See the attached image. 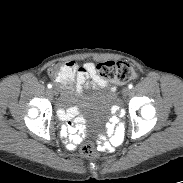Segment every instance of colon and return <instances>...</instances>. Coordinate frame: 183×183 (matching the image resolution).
I'll return each instance as SVG.
<instances>
[{
  "label": "colon",
  "mask_w": 183,
  "mask_h": 183,
  "mask_svg": "<svg viewBox=\"0 0 183 183\" xmlns=\"http://www.w3.org/2000/svg\"><path fill=\"white\" fill-rule=\"evenodd\" d=\"M97 71L101 77L115 83H126L137 77L136 69L133 65L124 61H105L97 66ZM67 78L58 73L56 81L61 84ZM81 153L88 159L95 158L96 152L91 141L85 142L81 147Z\"/></svg>",
  "instance_id": "1"
}]
</instances>
